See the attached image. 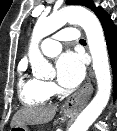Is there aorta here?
Wrapping results in <instances>:
<instances>
[{
  "mask_svg": "<svg viewBox=\"0 0 117 131\" xmlns=\"http://www.w3.org/2000/svg\"><path fill=\"white\" fill-rule=\"evenodd\" d=\"M67 22L80 25L87 36L93 60L98 91L89 105L79 114L70 131H87L106 107L111 94V75L103 29L98 18L82 7H67L48 17L38 18L32 33L29 61L36 77L53 73L52 65L41 54L38 44L41 39L55 32Z\"/></svg>",
  "mask_w": 117,
  "mask_h": 131,
  "instance_id": "762f6f07",
  "label": "aorta"
}]
</instances>
